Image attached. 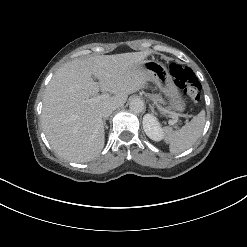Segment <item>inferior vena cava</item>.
I'll return each mask as SVG.
<instances>
[{"mask_svg":"<svg viewBox=\"0 0 247 247\" xmlns=\"http://www.w3.org/2000/svg\"><path fill=\"white\" fill-rule=\"evenodd\" d=\"M118 107L117 104L115 103H110V104H105L101 110H100V114L103 118H107L110 116V114H112V112Z\"/></svg>","mask_w":247,"mask_h":247,"instance_id":"1","label":"inferior vena cava"}]
</instances>
